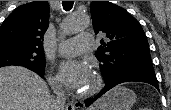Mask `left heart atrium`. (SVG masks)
I'll return each mask as SVG.
<instances>
[{
	"label": "left heart atrium",
	"mask_w": 171,
	"mask_h": 110,
	"mask_svg": "<svg viewBox=\"0 0 171 110\" xmlns=\"http://www.w3.org/2000/svg\"><path fill=\"white\" fill-rule=\"evenodd\" d=\"M59 76L69 89L80 92L90 78L91 70L84 62L66 60L59 66Z\"/></svg>",
	"instance_id": "obj_1"
}]
</instances>
